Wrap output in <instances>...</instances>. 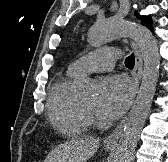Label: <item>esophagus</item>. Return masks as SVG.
Masks as SVG:
<instances>
[{
    "label": "esophagus",
    "mask_w": 168,
    "mask_h": 162,
    "mask_svg": "<svg viewBox=\"0 0 168 162\" xmlns=\"http://www.w3.org/2000/svg\"><path fill=\"white\" fill-rule=\"evenodd\" d=\"M131 46H132L134 53H135V68L133 71V76H134V81H135V89L137 91L139 88V85H140L141 78H142V55L137 47V44L134 41H131ZM125 120L126 119H123L116 126V128L113 130V132L105 138V140H104L105 144H107V145L117 144V142L122 134Z\"/></svg>",
    "instance_id": "34e87169"
}]
</instances>
